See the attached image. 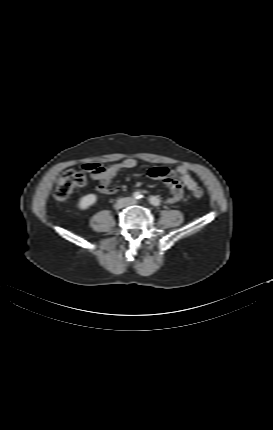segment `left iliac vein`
<instances>
[{
  "instance_id": "1",
  "label": "left iliac vein",
  "mask_w": 273,
  "mask_h": 430,
  "mask_svg": "<svg viewBox=\"0 0 273 430\" xmlns=\"http://www.w3.org/2000/svg\"><path fill=\"white\" fill-rule=\"evenodd\" d=\"M138 203V201H136V200H134V199H129L128 200V205H135V204H137Z\"/></svg>"
}]
</instances>
